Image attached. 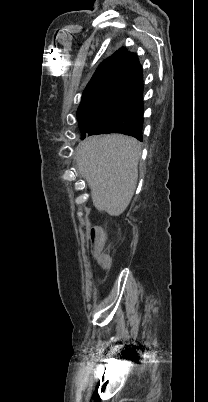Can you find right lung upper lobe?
<instances>
[{
    "instance_id": "cb5924a9",
    "label": "right lung upper lobe",
    "mask_w": 208,
    "mask_h": 402,
    "mask_svg": "<svg viewBox=\"0 0 208 402\" xmlns=\"http://www.w3.org/2000/svg\"><path fill=\"white\" fill-rule=\"evenodd\" d=\"M135 57L136 54L128 52L124 47L120 48L98 66L84 94L108 88Z\"/></svg>"
}]
</instances>
